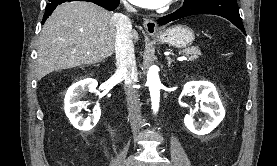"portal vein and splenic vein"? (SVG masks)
Instances as JSON below:
<instances>
[{"instance_id":"1","label":"portal vein and splenic vein","mask_w":277,"mask_h":166,"mask_svg":"<svg viewBox=\"0 0 277 166\" xmlns=\"http://www.w3.org/2000/svg\"><path fill=\"white\" fill-rule=\"evenodd\" d=\"M178 61H183V60H187L186 56H181L177 58Z\"/></svg>"}]
</instances>
